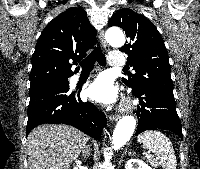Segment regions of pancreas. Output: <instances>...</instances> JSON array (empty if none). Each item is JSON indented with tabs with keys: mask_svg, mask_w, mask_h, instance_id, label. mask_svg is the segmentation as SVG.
I'll return each instance as SVG.
<instances>
[{
	"mask_svg": "<svg viewBox=\"0 0 200 169\" xmlns=\"http://www.w3.org/2000/svg\"><path fill=\"white\" fill-rule=\"evenodd\" d=\"M148 162L154 167L158 166V162L156 159H148Z\"/></svg>",
	"mask_w": 200,
	"mask_h": 169,
	"instance_id": "1",
	"label": "pancreas"
}]
</instances>
